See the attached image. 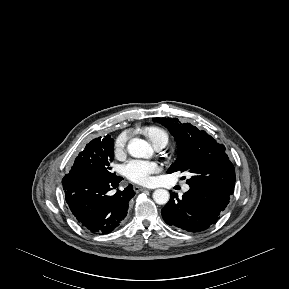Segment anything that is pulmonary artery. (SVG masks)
<instances>
[{
	"mask_svg": "<svg viewBox=\"0 0 289 289\" xmlns=\"http://www.w3.org/2000/svg\"><path fill=\"white\" fill-rule=\"evenodd\" d=\"M167 145V141L165 139H159L157 140L156 142L153 143V147L156 149V150H161L163 149L165 146ZM189 190V185H184L183 186V191L186 192Z\"/></svg>",
	"mask_w": 289,
	"mask_h": 289,
	"instance_id": "1",
	"label": "pulmonary artery"
}]
</instances>
